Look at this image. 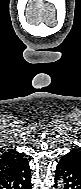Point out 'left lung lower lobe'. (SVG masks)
<instances>
[{
	"instance_id": "0a47b994",
	"label": "left lung lower lobe",
	"mask_w": 81,
	"mask_h": 189,
	"mask_svg": "<svg viewBox=\"0 0 81 189\" xmlns=\"http://www.w3.org/2000/svg\"><path fill=\"white\" fill-rule=\"evenodd\" d=\"M58 181H61L64 189H81V166L68 153L61 157L56 166L55 186Z\"/></svg>"
}]
</instances>
